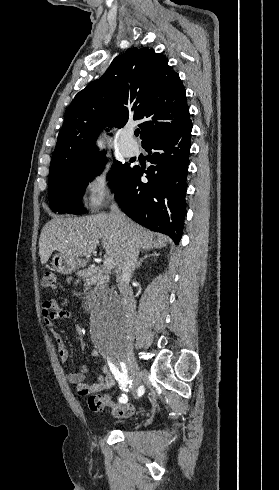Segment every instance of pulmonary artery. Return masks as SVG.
I'll return each instance as SVG.
<instances>
[{
	"label": "pulmonary artery",
	"instance_id": "e3ab8cb5",
	"mask_svg": "<svg viewBox=\"0 0 279 490\" xmlns=\"http://www.w3.org/2000/svg\"><path fill=\"white\" fill-rule=\"evenodd\" d=\"M121 137L119 138V145L122 147V152L126 157H133L137 153V145L132 144V130L131 128H121L120 130Z\"/></svg>",
	"mask_w": 279,
	"mask_h": 490
}]
</instances>
